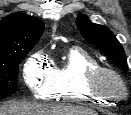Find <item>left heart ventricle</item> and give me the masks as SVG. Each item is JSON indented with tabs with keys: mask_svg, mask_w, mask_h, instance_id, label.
<instances>
[{
	"mask_svg": "<svg viewBox=\"0 0 131 115\" xmlns=\"http://www.w3.org/2000/svg\"><path fill=\"white\" fill-rule=\"evenodd\" d=\"M103 85L108 90H118L117 83L113 79H111L109 77H105L103 79Z\"/></svg>",
	"mask_w": 131,
	"mask_h": 115,
	"instance_id": "obj_1",
	"label": "left heart ventricle"
}]
</instances>
